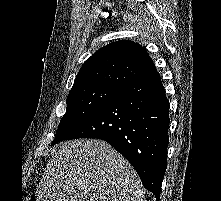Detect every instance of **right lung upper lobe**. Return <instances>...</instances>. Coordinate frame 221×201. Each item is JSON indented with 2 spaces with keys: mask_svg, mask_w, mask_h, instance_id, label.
I'll return each mask as SVG.
<instances>
[{
  "mask_svg": "<svg viewBox=\"0 0 221 201\" xmlns=\"http://www.w3.org/2000/svg\"><path fill=\"white\" fill-rule=\"evenodd\" d=\"M153 69L154 64L142 46L129 40L113 42L85 61L71 91L95 86L120 90Z\"/></svg>",
  "mask_w": 221,
  "mask_h": 201,
  "instance_id": "1",
  "label": "right lung upper lobe"
}]
</instances>
